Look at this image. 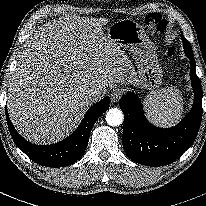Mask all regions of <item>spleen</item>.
I'll list each match as a JSON object with an SVG mask.
<instances>
[{
	"mask_svg": "<svg viewBox=\"0 0 206 206\" xmlns=\"http://www.w3.org/2000/svg\"><path fill=\"white\" fill-rule=\"evenodd\" d=\"M148 119L158 126L176 124L183 114V99L176 88H162L144 99Z\"/></svg>",
	"mask_w": 206,
	"mask_h": 206,
	"instance_id": "1",
	"label": "spleen"
}]
</instances>
